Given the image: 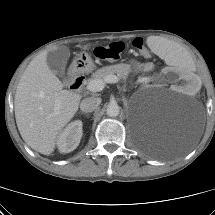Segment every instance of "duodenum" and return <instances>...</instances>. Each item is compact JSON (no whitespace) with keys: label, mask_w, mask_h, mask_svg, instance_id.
<instances>
[{"label":"duodenum","mask_w":215,"mask_h":215,"mask_svg":"<svg viewBox=\"0 0 215 215\" xmlns=\"http://www.w3.org/2000/svg\"><path fill=\"white\" fill-rule=\"evenodd\" d=\"M84 76L78 73L77 70L72 69L70 73V86L74 90H79L84 83Z\"/></svg>","instance_id":"duodenum-1"}]
</instances>
